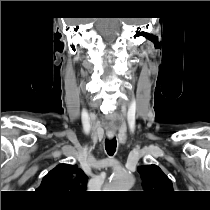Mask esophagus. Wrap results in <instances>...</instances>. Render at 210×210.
<instances>
[{"label": "esophagus", "mask_w": 210, "mask_h": 210, "mask_svg": "<svg viewBox=\"0 0 210 210\" xmlns=\"http://www.w3.org/2000/svg\"><path fill=\"white\" fill-rule=\"evenodd\" d=\"M106 134L108 138H112L114 136V132H107Z\"/></svg>", "instance_id": "34e87169"}]
</instances>
